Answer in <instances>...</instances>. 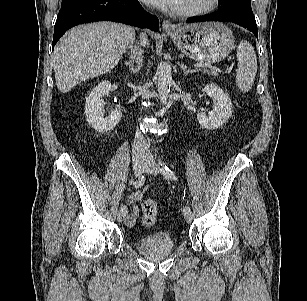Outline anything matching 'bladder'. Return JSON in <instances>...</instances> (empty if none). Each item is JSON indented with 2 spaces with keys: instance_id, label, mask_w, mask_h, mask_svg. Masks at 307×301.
I'll return each instance as SVG.
<instances>
[{
  "instance_id": "31cf9c89",
  "label": "bladder",
  "mask_w": 307,
  "mask_h": 301,
  "mask_svg": "<svg viewBox=\"0 0 307 301\" xmlns=\"http://www.w3.org/2000/svg\"><path fill=\"white\" fill-rule=\"evenodd\" d=\"M175 243L166 232H158L140 237L136 241V248L145 256L157 259L170 254Z\"/></svg>"
}]
</instances>
